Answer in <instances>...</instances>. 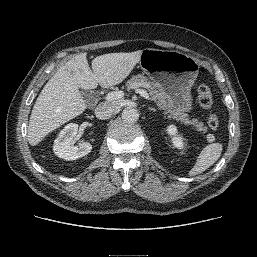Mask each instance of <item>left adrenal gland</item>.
<instances>
[{
	"label": "left adrenal gland",
	"mask_w": 257,
	"mask_h": 257,
	"mask_svg": "<svg viewBox=\"0 0 257 257\" xmlns=\"http://www.w3.org/2000/svg\"><path fill=\"white\" fill-rule=\"evenodd\" d=\"M148 110H149V111L156 112V109H155V108H151V107H149V108H148Z\"/></svg>",
	"instance_id": "left-adrenal-gland-1"
}]
</instances>
